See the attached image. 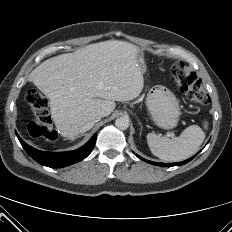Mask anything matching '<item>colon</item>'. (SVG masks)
<instances>
[{
    "instance_id": "1",
    "label": "colon",
    "mask_w": 232,
    "mask_h": 232,
    "mask_svg": "<svg viewBox=\"0 0 232 232\" xmlns=\"http://www.w3.org/2000/svg\"><path fill=\"white\" fill-rule=\"evenodd\" d=\"M171 74L177 88L190 100L200 104L209 102V96L204 90L202 80L184 63L173 64ZM26 101L34 114V118L28 126L29 135L32 138L56 140L58 135L48 115L47 98L37 88H31L26 93Z\"/></svg>"
}]
</instances>
